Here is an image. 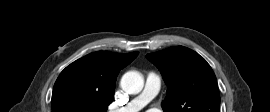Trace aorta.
Instances as JSON below:
<instances>
[{"label":"aorta","mask_w":270,"mask_h":112,"mask_svg":"<svg viewBox=\"0 0 270 112\" xmlns=\"http://www.w3.org/2000/svg\"><path fill=\"white\" fill-rule=\"evenodd\" d=\"M120 84L126 93L138 94L143 89L144 79L138 72L129 71L122 76Z\"/></svg>","instance_id":"obj_1"}]
</instances>
